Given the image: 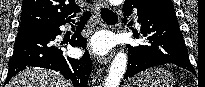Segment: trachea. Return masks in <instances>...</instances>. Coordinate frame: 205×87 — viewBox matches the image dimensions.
I'll use <instances>...</instances> for the list:
<instances>
[{
	"label": "trachea",
	"instance_id": "1",
	"mask_svg": "<svg viewBox=\"0 0 205 87\" xmlns=\"http://www.w3.org/2000/svg\"><path fill=\"white\" fill-rule=\"evenodd\" d=\"M100 13H101L103 20L108 23H114L118 21L117 15L107 8L101 7Z\"/></svg>",
	"mask_w": 205,
	"mask_h": 87
}]
</instances>
